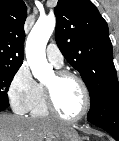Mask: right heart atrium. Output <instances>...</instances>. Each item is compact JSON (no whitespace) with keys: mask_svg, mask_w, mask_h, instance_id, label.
<instances>
[{"mask_svg":"<svg viewBox=\"0 0 119 141\" xmlns=\"http://www.w3.org/2000/svg\"><path fill=\"white\" fill-rule=\"evenodd\" d=\"M39 91V84L34 80L27 64H22L13 75L8 97L11 106L16 112L26 113L30 111Z\"/></svg>","mask_w":119,"mask_h":141,"instance_id":"d8ad5b80","label":"right heart atrium"}]
</instances>
